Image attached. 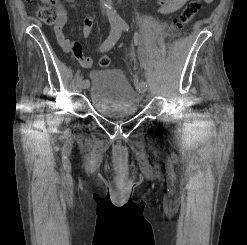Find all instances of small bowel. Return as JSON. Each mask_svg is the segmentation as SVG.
<instances>
[{
  "label": "small bowel",
  "mask_w": 247,
  "mask_h": 245,
  "mask_svg": "<svg viewBox=\"0 0 247 245\" xmlns=\"http://www.w3.org/2000/svg\"><path fill=\"white\" fill-rule=\"evenodd\" d=\"M205 3H212L214 0H203ZM158 4V12L162 15H169L180 10L187 0H156ZM67 21V16L64 10L60 11V18L54 26L56 39L65 52H71L79 60L82 66L90 67L92 59L85 57L82 53V47L79 43L72 42L65 38L63 27ZM93 19L91 16H86L82 33L84 37H88L92 31Z\"/></svg>",
  "instance_id": "1"
}]
</instances>
